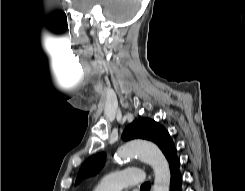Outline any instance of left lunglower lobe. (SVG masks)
<instances>
[{
	"label": "left lung lower lobe",
	"mask_w": 245,
	"mask_h": 191,
	"mask_svg": "<svg viewBox=\"0 0 245 191\" xmlns=\"http://www.w3.org/2000/svg\"><path fill=\"white\" fill-rule=\"evenodd\" d=\"M170 168V191H182V175L180 172V161L176 154V148L173 150L169 158L167 159Z\"/></svg>",
	"instance_id": "0a47b994"
}]
</instances>
